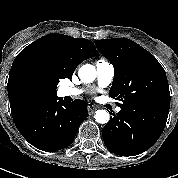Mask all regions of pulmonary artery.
<instances>
[{
    "mask_svg": "<svg viewBox=\"0 0 178 178\" xmlns=\"http://www.w3.org/2000/svg\"><path fill=\"white\" fill-rule=\"evenodd\" d=\"M96 73L99 86L106 87L112 82L115 71L111 63L104 60H99L96 63ZM59 91L60 95L63 97L65 96L76 97L81 94V90L70 87H61ZM120 110L121 109L118 107L117 111Z\"/></svg>",
    "mask_w": 178,
    "mask_h": 178,
    "instance_id": "obj_1",
    "label": "pulmonary artery"
}]
</instances>
